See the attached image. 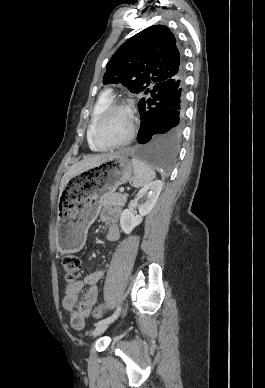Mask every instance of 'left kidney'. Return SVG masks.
<instances>
[{
	"mask_svg": "<svg viewBox=\"0 0 265 388\" xmlns=\"http://www.w3.org/2000/svg\"><path fill=\"white\" fill-rule=\"evenodd\" d=\"M162 190L161 180H156V182H150L143 186L137 194V198L140 204H138L139 214L135 216L133 210H124L120 218V226L124 234H130L134 230L135 226H139L143 220V216L149 214L152 208H154Z\"/></svg>",
	"mask_w": 265,
	"mask_h": 388,
	"instance_id": "left-kidney-1",
	"label": "left kidney"
}]
</instances>
